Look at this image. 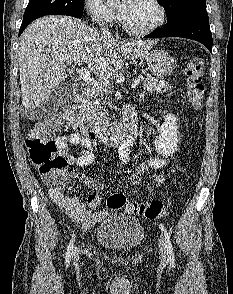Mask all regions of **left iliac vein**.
<instances>
[{
    "instance_id": "1",
    "label": "left iliac vein",
    "mask_w": 233,
    "mask_h": 294,
    "mask_svg": "<svg viewBox=\"0 0 233 294\" xmlns=\"http://www.w3.org/2000/svg\"><path fill=\"white\" fill-rule=\"evenodd\" d=\"M159 246V259L161 264L164 266L167 263V252H166V246L164 243V240L161 238L158 241Z\"/></svg>"
}]
</instances>
